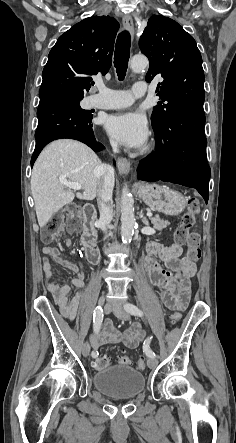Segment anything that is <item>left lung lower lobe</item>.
<instances>
[{
    "label": "left lung lower lobe",
    "instance_id": "1",
    "mask_svg": "<svg viewBox=\"0 0 236 443\" xmlns=\"http://www.w3.org/2000/svg\"><path fill=\"white\" fill-rule=\"evenodd\" d=\"M204 125L202 106H184L170 113L162 127L153 128L156 149L139 164L138 179L195 188L207 204L211 170Z\"/></svg>",
    "mask_w": 236,
    "mask_h": 443
}]
</instances>
